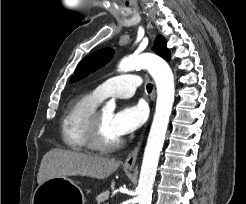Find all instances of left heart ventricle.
Returning <instances> with one entry per match:
<instances>
[{"instance_id":"b2bd125f","label":"left heart ventricle","mask_w":246,"mask_h":204,"mask_svg":"<svg viewBox=\"0 0 246 204\" xmlns=\"http://www.w3.org/2000/svg\"><path fill=\"white\" fill-rule=\"evenodd\" d=\"M101 122H102V139L103 141L110 143L120 138L115 132L112 126L113 113L111 111H101Z\"/></svg>"}]
</instances>
